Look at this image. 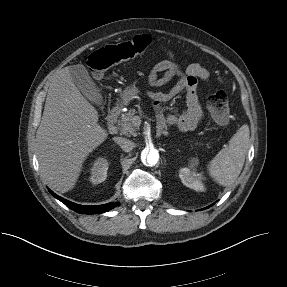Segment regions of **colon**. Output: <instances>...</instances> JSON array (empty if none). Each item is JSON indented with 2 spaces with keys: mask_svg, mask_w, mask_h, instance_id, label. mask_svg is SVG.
I'll return each mask as SVG.
<instances>
[{
  "mask_svg": "<svg viewBox=\"0 0 287 287\" xmlns=\"http://www.w3.org/2000/svg\"><path fill=\"white\" fill-rule=\"evenodd\" d=\"M151 44L147 35H138L129 41L99 48L88 58V66L95 77H101L111 66L142 54ZM208 109L214 121L225 125L229 121V103L223 90L214 91L208 98Z\"/></svg>",
  "mask_w": 287,
  "mask_h": 287,
  "instance_id": "5ec220e1",
  "label": "colon"
}]
</instances>
